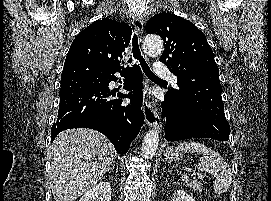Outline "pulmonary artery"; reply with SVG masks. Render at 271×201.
I'll list each match as a JSON object with an SVG mask.
<instances>
[{"instance_id": "pulmonary-artery-1", "label": "pulmonary artery", "mask_w": 271, "mask_h": 201, "mask_svg": "<svg viewBox=\"0 0 271 201\" xmlns=\"http://www.w3.org/2000/svg\"><path fill=\"white\" fill-rule=\"evenodd\" d=\"M154 72L156 75L161 77H166L170 79V81L176 85L177 80L176 77L172 74L169 68L164 64L163 61H157L154 65Z\"/></svg>"}]
</instances>
